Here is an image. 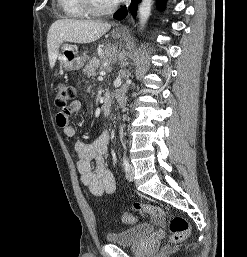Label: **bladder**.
<instances>
[{
  "mask_svg": "<svg viewBox=\"0 0 247 257\" xmlns=\"http://www.w3.org/2000/svg\"><path fill=\"white\" fill-rule=\"evenodd\" d=\"M154 232V226L141 223L129 229L118 232H110L106 235L108 242L120 246L137 245Z\"/></svg>",
  "mask_w": 247,
  "mask_h": 257,
  "instance_id": "31cf9c89",
  "label": "bladder"
}]
</instances>
